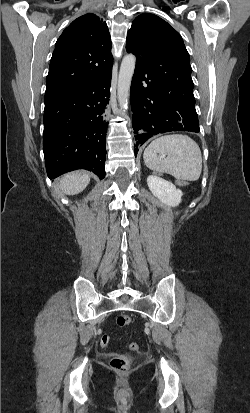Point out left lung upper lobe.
<instances>
[{"label": "left lung upper lobe", "instance_id": "5c2ea615", "mask_svg": "<svg viewBox=\"0 0 250 413\" xmlns=\"http://www.w3.org/2000/svg\"><path fill=\"white\" fill-rule=\"evenodd\" d=\"M126 49L138 50L153 75L192 81L190 57L182 37L156 15L144 13L135 18L127 33Z\"/></svg>", "mask_w": 250, "mask_h": 413}]
</instances>
